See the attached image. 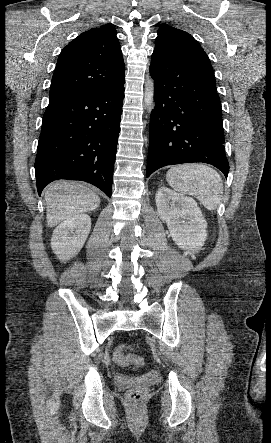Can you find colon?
Listing matches in <instances>:
<instances>
[{"instance_id": "5ec220e1", "label": "colon", "mask_w": 271, "mask_h": 443, "mask_svg": "<svg viewBox=\"0 0 271 443\" xmlns=\"http://www.w3.org/2000/svg\"><path fill=\"white\" fill-rule=\"evenodd\" d=\"M126 345L117 346L113 352V360L115 363L123 366H140L143 364V359L139 356L129 354L126 352ZM145 395V390L143 387L138 386L128 391L127 400L131 404L140 403Z\"/></svg>"}]
</instances>
